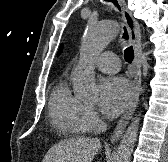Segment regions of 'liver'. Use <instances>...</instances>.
<instances>
[{
	"label": "liver",
	"mask_w": 168,
	"mask_h": 162,
	"mask_svg": "<svg viewBox=\"0 0 168 162\" xmlns=\"http://www.w3.org/2000/svg\"><path fill=\"white\" fill-rule=\"evenodd\" d=\"M101 148L98 138L76 137L53 145L42 162H92Z\"/></svg>",
	"instance_id": "obj_1"
}]
</instances>
